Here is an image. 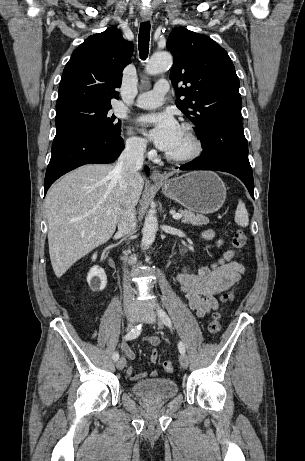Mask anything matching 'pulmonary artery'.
Returning <instances> with one entry per match:
<instances>
[{
	"label": "pulmonary artery",
	"instance_id": "obj_1",
	"mask_svg": "<svg viewBox=\"0 0 305 461\" xmlns=\"http://www.w3.org/2000/svg\"><path fill=\"white\" fill-rule=\"evenodd\" d=\"M169 90V82L166 79L157 81L151 91L141 93L135 100V105L140 108L151 109L162 104L165 94Z\"/></svg>",
	"mask_w": 305,
	"mask_h": 461
}]
</instances>
